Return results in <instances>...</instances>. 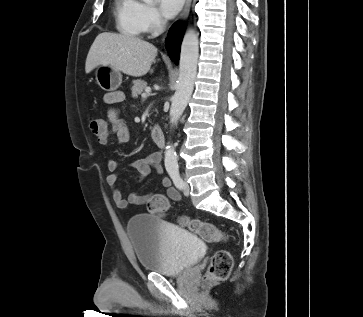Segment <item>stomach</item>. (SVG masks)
I'll return each mask as SVG.
<instances>
[{"instance_id": "stomach-1", "label": "stomach", "mask_w": 363, "mask_h": 317, "mask_svg": "<svg viewBox=\"0 0 363 317\" xmlns=\"http://www.w3.org/2000/svg\"><path fill=\"white\" fill-rule=\"evenodd\" d=\"M98 85L105 91H115L122 83V74L109 65H99L95 71Z\"/></svg>"}]
</instances>
